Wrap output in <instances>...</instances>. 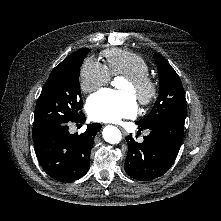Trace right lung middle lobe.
Segmentation results:
<instances>
[{
	"mask_svg": "<svg viewBox=\"0 0 221 221\" xmlns=\"http://www.w3.org/2000/svg\"><path fill=\"white\" fill-rule=\"evenodd\" d=\"M89 49H80L57 65L38 98L33 126V136L55 124L67 123L82 114V99L79 85L80 66Z\"/></svg>",
	"mask_w": 221,
	"mask_h": 221,
	"instance_id": "obj_1",
	"label": "right lung middle lobe"
}]
</instances>
